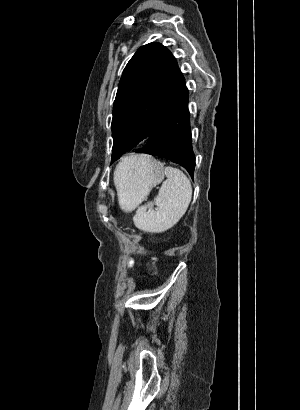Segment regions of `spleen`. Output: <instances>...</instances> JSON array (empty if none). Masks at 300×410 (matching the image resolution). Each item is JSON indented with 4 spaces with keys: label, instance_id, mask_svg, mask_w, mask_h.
I'll list each match as a JSON object with an SVG mask.
<instances>
[{
    "label": "spleen",
    "instance_id": "3e777b00",
    "mask_svg": "<svg viewBox=\"0 0 300 410\" xmlns=\"http://www.w3.org/2000/svg\"><path fill=\"white\" fill-rule=\"evenodd\" d=\"M136 159H123L116 167L114 182L119 191L125 181L123 172L133 168ZM167 180L163 182L154 202L141 206L133 217L137 228L149 233H162L172 228L185 214L192 199V186L187 176L179 169L165 168ZM158 207L153 209V205Z\"/></svg>",
    "mask_w": 300,
    "mask_h": 410
}]
</instances>
